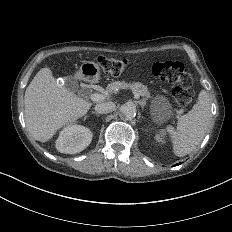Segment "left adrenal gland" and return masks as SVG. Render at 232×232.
<instances>
[{
	"mask_svg": "<svg viewBox=\"0 0 232 232\" xmlns=\"http://www.w3.org/2000/svg\"><path fill=\"white\" fill-rule=\"evenodd\" d=\"M138 104H139L141 107H144L145 104H146V102H145V100H140V101H138Z\"/></svg>",
	"mask_w": 232,
	"mask_h": 232,
	"instance_id": "a2214340",
	"label": "left adrenal gland"
}]
</instances>
